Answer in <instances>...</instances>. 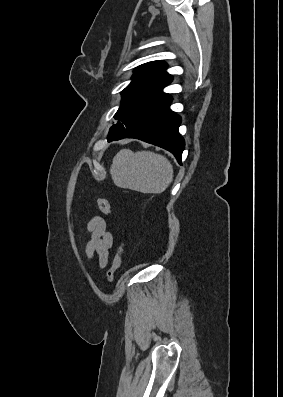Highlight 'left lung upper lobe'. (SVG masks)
<instances>
[{
	"label": "left lung upper lobe",
	"instance_id": "obj_1",
	"mask_svg": "<svg viewBox=\"0 0 283 397\" xmlns=\"http://www.w3.org/2000/svg\"><path fill=\"white\" fill-rule=\"evenodd\" d=\"M163 61L140 65L134 70L132 82L121 92V105L114 115L119 122L110 128L108 138L121 134L134 121L170 97L162 90L172 81Z\"/></svg>",
	"mask_w": 283,
	"mask_h": 397
}]
</instances>
